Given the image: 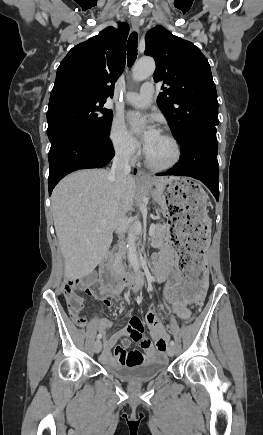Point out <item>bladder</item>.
Masks as SVG:
<instances>
[{"instance_id": "bladder-1", "label": "bladder", "mask_w": 263, "mask_h": 435, "mask_svg": "<svg viewBox=\"0 0 263 435\" xmlns=\"http://www.w3.org/2000/svg\"><path fill=\"white\" fill-rule=\"evenodd\" d=\"M167 360L155 358L134 365L106 364L105 368L115 377L129 382L152 380L165 371Z\"/></svg>"}]
</instances>
